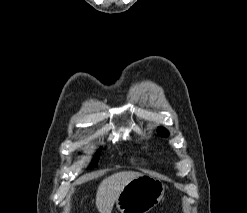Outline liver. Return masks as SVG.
<instances>
[{"instance_id":"1","label":"liver","mask_w":247,"mask_h":213,"mask_svg":"<svg viewBox=\"0 0 247 213\" xmlns=\"http://www.w3.org/2000/svg\"><path fill=\"white\" fill-rule=\"evenodd\" d=\"M142 176L141 173L124 171L106 177L98 186L96 207L100 213H111L114 203L123 188L133 179Z\"/></svg>"}]
</instances>
